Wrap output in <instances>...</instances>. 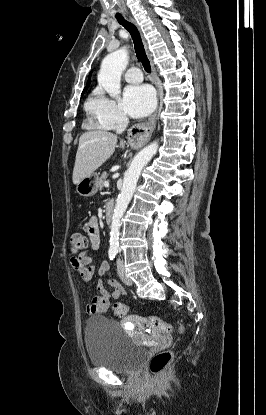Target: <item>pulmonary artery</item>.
Here are the masks:
<instances>
[{
    "label": "pulmonary artery",
    "mask_w": 266,
    "mask_h": 415,
    "mask_svg": "<svg viewBox=\"0 0 266 415\" xmlns=\"http://www.w3.org/2000/svg\"><path fill=\"white\" fill-rule=\"evenodd\" d=\"M124 77L129 83H139L143 80L142 72L138 67H130Z\"/></svg>",
    "instance_id": "pulmonary-artery-1"
}]
</instances>
